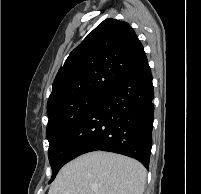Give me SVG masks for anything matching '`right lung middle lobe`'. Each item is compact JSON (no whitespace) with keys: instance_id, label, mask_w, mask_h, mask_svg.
<instances>
[{"instance_id":"right-lung-middle-lobe-1","label":"right lung middle lobe","mask_w":201,"mask_h":194,"mask_svg":"<svg viewBox=\"0 0 201 194\" xmlns=\"http://www.w3.org/2000/svg\"><path fill=\"white\" fill-rule=\"evenodd\" d=\"M102 95H91L77 98L56 106L48 112L46 137L49 141L48 156L54 180L60 168L54 160V152L60 146L65 134L101 99ZM49 182V183H50Z\"/></svg>"}]
</instances>
